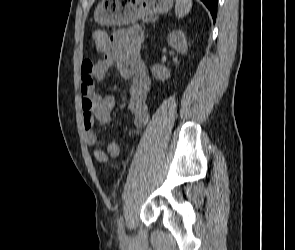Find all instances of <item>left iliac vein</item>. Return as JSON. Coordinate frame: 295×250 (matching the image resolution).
I'll return each instance as SVG.
<instances>
[{"label":"left iliac vein","instance_id":"left-iliac-vein-1","mask_svg":"<svg viewBox=\"0 0 295 250\" xmlns=\"http://www.w3.org/2000/svg\"><path fill=\"white\" fill-rule=\"evenodd\" d=\"M124 237H125V233H124V235L120 236V238H124Z\"/></svg>","mask_w":295,"mask_h":250}]
</instances>
